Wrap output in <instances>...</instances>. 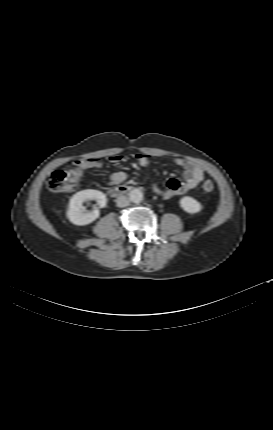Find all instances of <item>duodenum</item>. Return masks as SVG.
Instances as JSON below:
<instances>
[{
    "label": "duodenum",
    "mask_w": 273,
    "mask_h": 430,
    "mask_svg": "<svg viewBox=\"0 0 273 430\" xmlns=\"http://www.w3.org/2000/svg\"><path fill=\"white\" fill-rule=\"evenodd\" d=\"M133 187L130 185L122 184L116 187H113L109 190V193L113 197H118L130 193L133 191Z\"/></svg>",
    "instance_id": "duodenum-1"
}]
</instances>
